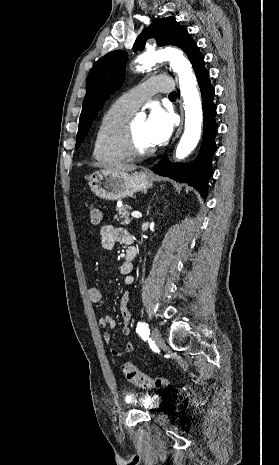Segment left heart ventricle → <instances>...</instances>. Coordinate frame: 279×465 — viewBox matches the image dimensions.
<instances>
[{"mask_svg": "<svg viewBox=\"0 0 279 465\" xmlns=\"http://www.w3.org/2000/svg\"><path fill=\"white\" fill-rule=\"evenodd\" d=\"M144 120H135L132 122L133 143L136 149L146 150L153 147L150 142Z\"/></svg>", "mask_w": 279, "mask_h": 465, "instance_id": "obj_1", "label": "left heart ventricle"}]
</instances>
